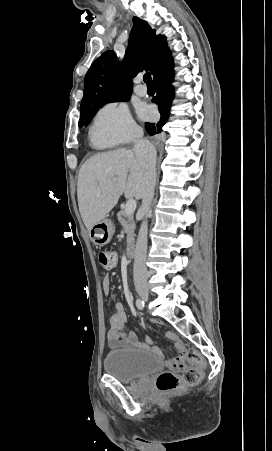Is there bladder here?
Returning a JSON list of instances; mask_svg holds the SVG:
<instances>
[{
  "mask_svg": "<svg viewBox=\"0 0 272 451\" xmlns=\"http://www.w3.org/2000/svg\"><path fill=\"white\" fill-rule=\"evenodd\" d=\"M162 361L153 354L137 350H110L105 355V371L121 383H132L159 371Z\"/></svg>",
  "mask_w": 272,
  "mask_h": 451,
  "instance_id": "bladder-1",
  "label": "bladder"
}]
</instances>
